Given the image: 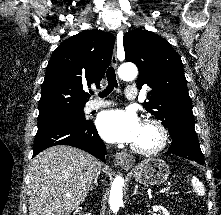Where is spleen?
Returning <instances> with one entry per match:
<instances>
[{"mask_svg":"<svg viewBox=\"0 0 221 215\" xmlns=\"http://www.w3.org/2000/svg\"><path fill=\"white\" fill-rule=\"evenodd\" d=\"M191 182H192V186L194 190L198 193V195L204 196L205 189H204L203 184L199 181V179L196 177H192Z\"/></svg>","mask_w":221,"mask_h":215,"instance_id":"obj_1","label":"spleen"}]
</instances>
